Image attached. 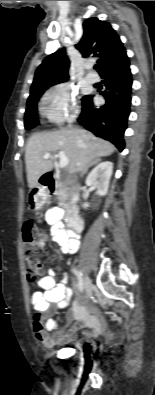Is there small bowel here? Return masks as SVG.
I'll return each instance as SVG.
<instances>
[{"mask_svg":"<svg viewBox=\"0 0 155 395\" xmlns=\"http://www.w3.org/2000/svg\"><path fill=\"white\" fill-rule=\"evenodd\" d=\"M62 211L52 207L45 214V221L51 226L53 240L59 245L63 253L75 254L79 250L80 242L77 233L66 230L61 223ZM72 296V289L67 285V276L57 283L55 275L50 271L39 282L34 283L31 303L35 310L32 318V328L36 338L47 348H53L74 340L80 329L88 328L83 337L89 339L101 330L98 317L74 302L66 315L67 322L75 321L73 327L66 332L57 331V323L50 318L55 309H64Z\"/></svg>","mask_w":155,"mask_h":395,"instance_id":"obj_1","label":"small bowel"}]
</instances>
